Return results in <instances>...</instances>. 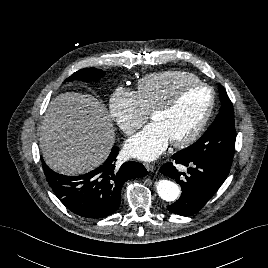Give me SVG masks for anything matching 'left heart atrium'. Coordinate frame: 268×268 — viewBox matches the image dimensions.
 Returning <instances> with one entry per match:
<instances>
[{"mask_svg": "<svg viewBox=\"0 0 268 268\" xmlns=\"http://www.w3.org/2000/svg\"><path fill=\"white\" fill-rule=\"evenodd\" d=\"M169 141L163 128L153 122L127 140L125 153L130 158L151 161L166 149Z\"/></svg>", "mask_w": 268, "mask_h": 268, "instance_id": "39dd6f15", "label": "left heart atrium"}]
</instances>
